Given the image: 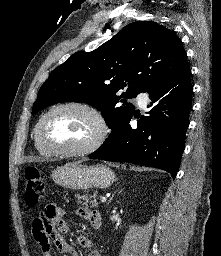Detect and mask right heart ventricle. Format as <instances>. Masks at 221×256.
Segmentation results:
<instances>
[{
  "mask_svg": "<svg viewBox=\"0 0 221 256\" xmlns=\"http://www.w3.org/2000/svg\"><path fill=\"white\" fill-rule=\"evenodd\" d=\"M34 143H35V147H36V149L39 151V153H41L42 155H45V156L51 155V153H49L48 151L44 150L43 148H41V147L39 146V144H38L37 141H36L35 136H34Z\"/></svg>",
  "mask_w": 221,
  "mask_h": 256,
  "instance_id": "obj_1",
  "label": "right heart ventricle"
}]
</instances>
